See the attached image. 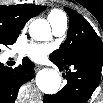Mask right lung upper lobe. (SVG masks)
I'll return each instance as SVG.
<instances>
[{"instance_id":"obj_1","label":"right lung upper lobe","mask_w":103,"mask_h":103,"mask_svg":"<svg viewBox=\"0 0 103 103\" xmlns=\"http://www.w3.org/2000/svg\"><path fill=\"white\" fill-rule=\"evenodd\" d=\"M46 6L34 4L0 5V26L14 33H20L25 23L42 12Z\"/></svg>"}]
</instances>
